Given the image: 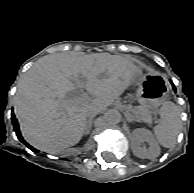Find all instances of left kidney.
Returning a JSON list of instances; mask_svg holds the SVG:
<instances>
[{"instance_id":"left-kidney-1","label":"left kidney","mask_w":194,"mask_h":193,"mask_svg":"<svg viewBox=\"0 0 194 193\" xmlns=\"http://www.w3.org/2000/svg\"><path fill=\"white\" fill-rule=\"evenodd\" d=\"M148 143V148L143 145ZM132 150L139 158L154 159L160 154V147L151 131L144 128H137L132 134Z\"/></svg>"}]
</instances>
